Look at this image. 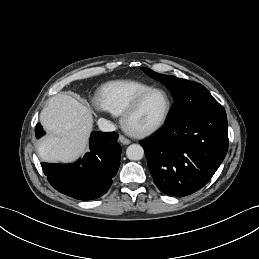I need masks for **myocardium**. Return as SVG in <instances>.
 <instances>
[{"mask_svg":"<svg viewBox=\"0 0 259 259\" xmlns=\"http://www.w3.org/2000/svg\"><path fill=\"white\" fill-rule=\"evenodd\" d=\"M156 92H160L163 93L167 99V107H166V111L162 117V119L155 125L149 127V128H145V129H134L129 125V119L130 117L138 110V108L140 107V105L143 103V101L148 98L151 94L156 93ZM172 110V100L171 97L169 95V93L162 89V88H151L150 90L142 93L141 95H139L137 98H135L132 103L124 110V112L121 115V124L122 127L124 128V130L134 136V137H147L149 135H152L153 133L159 131L167 122L170 113Z\"/></svg>","mask_w":259,"mask_h":259,"instance_id":"1","label":"myocardium"}]
</instances>
